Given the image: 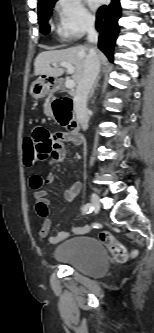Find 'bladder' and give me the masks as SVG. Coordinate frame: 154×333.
Returning <instances> with one entry per match:
<instances>
[{
	"label": "bladder",
	"instance_id": "31cf9c89",
	"mask_svg": "<svg viewBox=\"0 0 154 333\" xmlns=\"http://www.w3.org/2000/svg\"><path fill=\"white\" fill-rule=\"evenodd\" d=\"M52 256L55 261L92 277H102L108 269L107 250L93 236L67 238L55 248Z\"/></svg>",
	"mask_w": 154,
	"mask_h": 333
}]
</instances>
